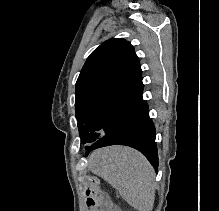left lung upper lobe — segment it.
<instances>
[{"mask_svg":"<svg viewBox=\"0 0 219 211\" xmlns=\"http://www.w3.org/2000/svg\"><path fill=\"white\" fill-rule=\"evenodd\" d=\"M143 88L139 58L128 41L113 38L97 47L76 82L81 142L92 143L110 133Z\"/></svg>","mask_w":219,"mask_h":211,"instance_id":"obj_1","label":"left lung upper lobe"}]
</instances>
